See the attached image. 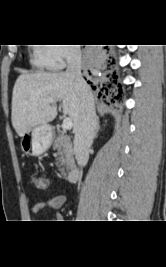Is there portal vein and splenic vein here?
Returning <instances> with one entry per match:
<instances>
[{"instance_id":"obj_1","label":"portal vein and splenic vein","mask_w":166,"mask_h":267,"mask_svg":"<svg viewBox=\"0 0 166 267\" xmlns=\"http://www.w3.org/2000/svg\"><path fill=\"white\" fill-rule=\"evenodd\" d=\"M51 103H53V101H51ZM62 126H63L64 129L70 130L72 128V126H73L72 119L70 117L64 118Z\"/></svg>"}]
</instances>
